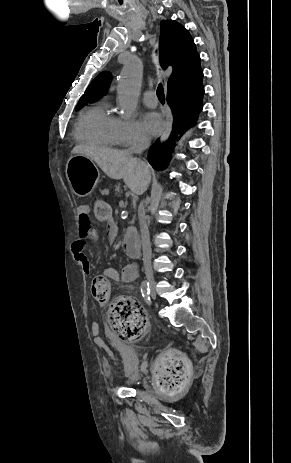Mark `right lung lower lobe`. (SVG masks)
Here are the masks:
<instances>
[{
	"instance_id": "1",
	"label": "right lung lower lobe",
	"mask_w": 291,
	"mask_h": 463,
	"mask_svg": "<svg viewBox=\"0 0 291 463\" xmlns=\"http://www.w3.org/2000/svg\"><path fill=\"white\" fill-rule=\"evenodd\" d=\"M202 78L201 72L196 83L186 88L168 90L167 102L173 113V125L168 140L162 144L157 140L150 148L148 161L155 170H163L167 167L181 136L196 125L203 108Z\"/></svg>"
}]
</instances>
